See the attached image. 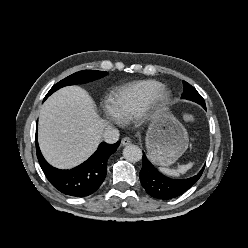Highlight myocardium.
I'll return each instance as SVG.
<instances>
[{"mask_svg": "<svg viewBox=\"0 0 248 248\" xmlns=\"http://www.w3.org/2000/svg\"><path fill=\"white\" fill-rule=\"evenodd\" d=\"M171 97V93L165 87H161L153 97L151 101L152 106H163L166 105Z\"/></svg>", "mask_w": 248, "mask_h": 248, "instance_id": "obj_1", "label": "myocardium"}]
</instances>
